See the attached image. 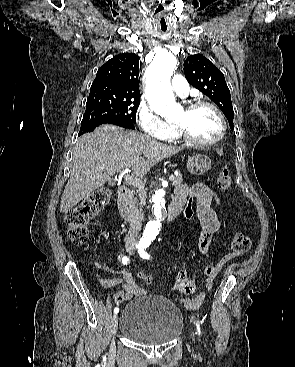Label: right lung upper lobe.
<instances>
[{
    "label": "right lung upper lobe",
    "mask_w": 295,
    "mask_h": 367,
    "mask_svg": "<svg viewBox=\"0 0 295 367\" xmlns=\"http://www.w3.org/2000/svg\"><path fill=\"white\" fill-rule=\"evenodd\" d=\"M138 65L139 57L133 53L113 57L98 69L90 92L140 98Z\"/></svg>",
    "instance_id": "obj_1"
}]
</instances>
